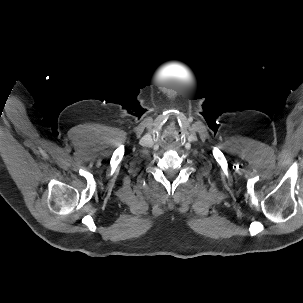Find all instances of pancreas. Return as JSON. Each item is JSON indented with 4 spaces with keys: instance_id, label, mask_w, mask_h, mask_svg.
<instances>
[{
    "instance_id": "obj_1",
    "label": "pancreas",
    "mask_w": 303,
    "mask_h": 303,
    "mask_svg": "<svg viewBox=\"0 0 303 303\" xmlns=\"http://www.w3.org/2000/svg\"><path fill=\"white\" fill-rule=\"evenodd\" d=\"M29 136H32V134H29ZM39 144H41L43 147H45L46 145L43 142H38Z\"/></svg>"
}]
</instances>
